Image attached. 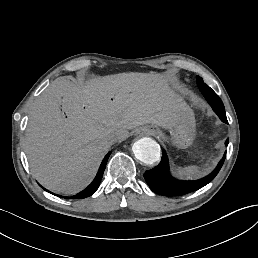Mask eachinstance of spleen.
Wrapping results in <instances>:
<instances>
[{"label": "spleen", "instance_id": "1", "mask_svg": "<svg viewBox=\"0 0 258 258\" xmlns=\"http://www.w3.org/2000/svg\"><path fill=\"white\" fill-rule=\"evenodd\" d=\"M179 174L180 175H185L187 177H191V176H194L196 174L199 173V169L197 166H189V167H185V168H182V169H179Z\"/></svg>", "mask_w": 258, "mask_h": 258}]
</instances>
